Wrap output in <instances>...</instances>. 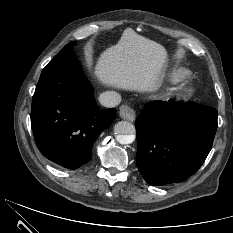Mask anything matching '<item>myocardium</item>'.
Listing matches in <instances>:
<instances>
[{
	"label": "myocardium",
	"instance_id": "obj_1",
	"mask_svg": "<svg viewBox=\"0 0 233 233\" xmlns=\"http://www.w3.org/2000/svg\"><path fill=\"white\" fill-rule=\"evenodd\" d=\"M193 94V88L189 85H184L176 90L174 96L177 98H189Z\"/></svg>",
	"mask_w": 233,
	"mask_h": 233
}]
</instances>
